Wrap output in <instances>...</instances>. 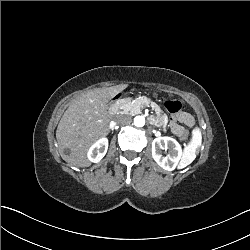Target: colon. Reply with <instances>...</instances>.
<instances>
[{
	"mask_svg": "<svg viewBox=\"0 0 250 250\" xmlns=\"http://www.w3.org/2000/svg\"><path fill=\"white\" fill-rule=\"evenodd\" d=\"M165 108L170 114L175 115L182 122H184V123H186L188 125L193 124L192 118L188 114L181 112V109H182L181 102H179L177 100L167 101L166 104H165ZM189 137H190V132L187 129H182L180 131L179 139L182 142H188Z\"/></svg>",
	"mask_w": 250,
	"mask_h": 250,
	"instance_id": "1",
	"label": "colon"
}]
</instances>
